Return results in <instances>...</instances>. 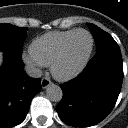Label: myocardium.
Wrapping results in <instances>:
<instances>
[{
	"instance_id": "obj_1",
	"label": "myocardium",
	"mask_w": 128,
	"mask_h": 128,
	"mask_svg": "<svg viewBox=\"0 0 128 128\" xmlns=\"http://www.w3.org/2000/svg\"><path fill=\"white\" fill-rule=\"evenodd\" d=\"M78 33H86L89 38H90V46H89V50L86 54V56L84 57V59L82 60V62L72 71L68 72V73H60L58 70V67L60 65V63L63 61L64 57H65V53L67 50V47L71 41V39ZM93 48H94V38L92 36V34L85 29H76L70 36H68V38L63 42L62 46L60 47L55 59L53 60L52 64H51V73L53 75V77L61 82H66V81H70L74 78H76L79 74L82 73V71L86 68L91 54L93 52Z\"/></svg>"
}]
</instances>
